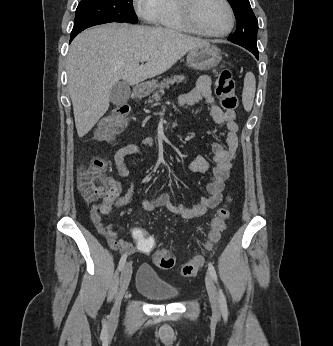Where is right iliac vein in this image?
I'll use <instances>...</instances> for the list:
<instances>
[{
    "label": "right iliac vein",
    "instance_id": "obj_1",
    "mask_svg": "<svg viewBox=\"0 0 333 346\" xmlns=\"http://www.w3.org/2000/svg\"><path fill=\"white\" fill-rule=\"evenodd\" d=\"M131 274H132V264L131 262H128L124 265L121 272L120 281H119V289H118V292H117V295H116V298L110 313L111 324H115L118 321L121 300L129 286Z\"/></svg>",
    "mask_w": 333,
    "mask_h": 346
}]
</instances>
